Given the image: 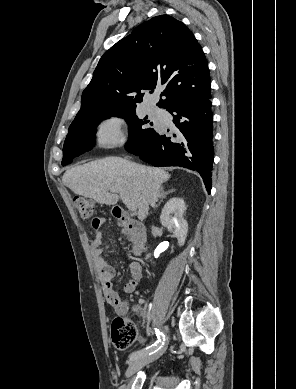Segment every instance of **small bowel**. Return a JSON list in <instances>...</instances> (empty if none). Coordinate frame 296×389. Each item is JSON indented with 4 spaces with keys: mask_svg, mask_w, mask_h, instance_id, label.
<instances>
[{
    "mask_svg": "<svg viewBox=\"0 0 296 389\" xmlns=\"http://www.w3.org/2000/svg\"><path fill=\"white\" fill-rule=\"evenodd\" d=\"M103 226V219H97V221L93 224V228L95 229V236L90 246V252L93 257L94 264L99 272V277L103 287V294L107 303L113 307L114 311L118 315H124L129 309V303L122 300L118 292L114 289L112 282L114 277V269L102 256L103 235L101 229ZM129 271L131 277L123 286V292L126 294L134 293L142 278V268L139 263L131 262L129 264ZM137 340L139 342H143V337L138 336Z\"/></svg>",
    "mask_w": 296,
    "mask_h": 389,
    "instance_id": "small-bowel-1",
    "label": "small bowel"
}]
</instances>
